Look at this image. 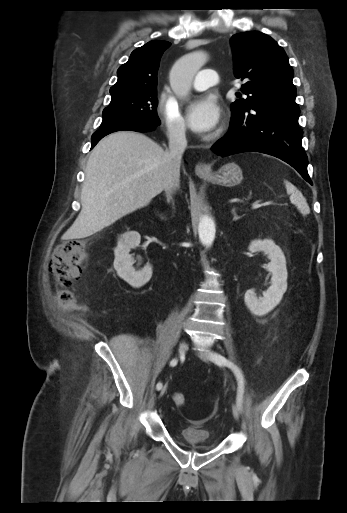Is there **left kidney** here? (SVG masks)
I'll use <instances>...</instances> for the list:
<instances>
[{
    "instance_id": "left-kidney-1",
    "label": "left kidney",
    "mask_w": 347,
    "mask_h": 513,
    "mask_svg": "<svg viewBox=\"0 0 347 513\" xmlns=\"http://www.w3.org/2000/svg\"><path fill=\"white\" fill-rule=\"evenodd\" d=\"M250 252H263L270 259L268 269L272 273L271 286L263 293V297H256L253 289L247 290L244 301L251 313L263 316L273 310L282 300L287 290L288 272L286 259L281 248L273 240H254L248 247Z\"/></svg>"
}]
</instances>
